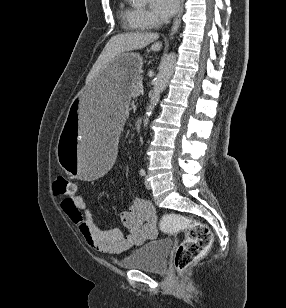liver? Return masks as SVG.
<instances>
[{"mask_svg":"<svg viewBox=\"0 0 286 308\" xmlns=\"http://www.w3.org/2000/svg\"><path fill=\"white\" fill-rule=\"evenodd\" d=\"M159 35L156 33L131 32L113 36L105 45L103 51L93 65L86 78L88 85L111 61L116 57L133 50L145 48L153 43L150 50L160 51L162 42L157 41Z\"/></svg>","mask_w":286,"mask_h":308,"instance_id":"liver-1","label":"liver"}]
</instances>
